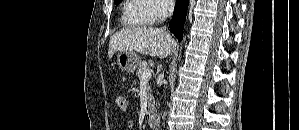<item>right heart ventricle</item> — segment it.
Wrapping results in <instances>:
<instances>
[{"label":"right heart ventricle","instance_id":"1","mask_svg":"<svg viewBox=\"0 0 299 130\" xmlns=\"http://www.w3.org/2000/svg\"><path fill=\"white\" fill-rule=\"evenodd\" d=\"M122 22L135 27L154 24L153 4L149 0H127L122 11Z\"/></svg>","mask_w":299,"mask_h":130}]
</instances>
